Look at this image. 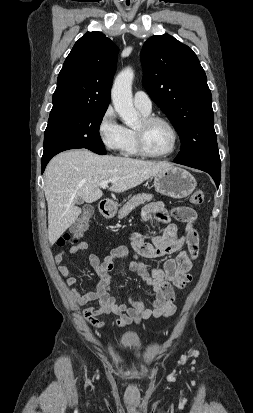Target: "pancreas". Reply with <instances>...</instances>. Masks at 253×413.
Masks as SVG:
<instances>
[{
    "label": "pancreas",
    "instance_id": "cf45deb5",
    "mask_svg": "<svg viewBox=\"0 0 253 413\" xmlns=\"http://www.w3.org/2000/svg\"><path fill=\"white\" fill-rule=\"evenodd\" d=\"M153 198L152 194H137L133 196L129 202H127L118 212V218L122 219L126 217L132 210H134L140 204L151 201Z\"/></svg>",
    "mask_w": 253,
    "mask_h": 413
}]
</instances>
